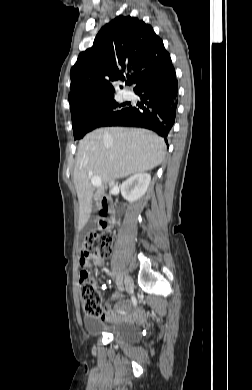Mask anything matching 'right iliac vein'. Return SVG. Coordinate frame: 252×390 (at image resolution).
Instances as JSON below:
<instances>
[{
  "instance_id": "1",
  "label": "right iliac vein",
  "mask_w": 252,
  "mask_h": 390,
  "mask_svg": "<svg viewBox=\"0 0 252 390\" xmlns=\"http://www.w3.org/2000/svg\"><path fill=\"white\" fill-rule=\"evenodd\" d=\"M134 283L130 276H126L125 278V289L127 293L131 294L133 292Z\"/></svg>"
}]
</instances>
